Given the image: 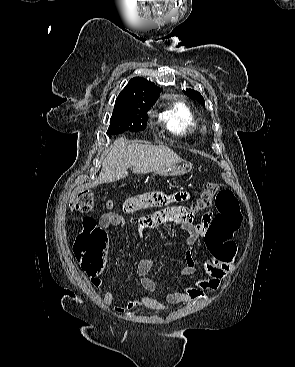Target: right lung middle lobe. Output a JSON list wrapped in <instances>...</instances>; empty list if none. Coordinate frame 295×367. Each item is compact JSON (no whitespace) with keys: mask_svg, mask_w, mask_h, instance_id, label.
I'll use <instances>...</instances> for the list:
<instances>
[{"mask_svg":"<svg viewBox=\"0 0 295 367\" xmlns=\"http://www.w3.org/2000/svg\"><path fill=\"white\" fill-rule=\"evenodd\" d=\"M153 103H133L123 108H115L110 119L107 135L120 134L125 131H142L146 128L147 112Z\"/></svg>","mask_w":295,"mask_h":367,"instance_id":"dd1d6c3e","label":"right lung middle lobe"}]
</instances>
